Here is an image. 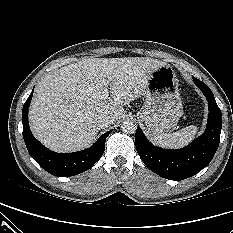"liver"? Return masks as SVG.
Segmentation results:
<instances>
[{
    "instance_id": "liver-1",
    "label": "liver",
    "mask_w": 233,
    "mask_h": 233,
    "mask_svg": "<svg viewBox=\"0 0 233 233\" xmlns=\"http://www.w3.org/2000/svg\"><path fill=\"white\" fill-rule=\"evenodd\" d=\"M164 65L147 57L84 58L44 77L29 110L34 136L57 152L87 148L100 129L99 115L120 119L124 105L145 94L150 74ZM109 81L112 99L101 94Z\"/></svg>"
}]
</instances>
